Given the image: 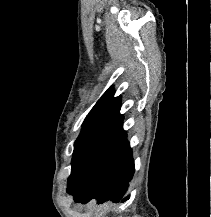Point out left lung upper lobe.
<instances>
[{
  "label": "left lung upper lobe",
  "mask_w": 211,
  "mask_h": 217,
  "mask_svg": "<svg viewBox=\"0 0 211 217\" xmlns=\"http://www.w3.org/2000/svg\"><path fill=\"white\" fill-rule=\"evenodd\" d=\"M113 93L109 88L85 118L75 141L68 183L75 180L101 147L122 129L121 96L114 97Z\"/></svg>",
  "instance_id": "obj_1"
}]
</instances>
